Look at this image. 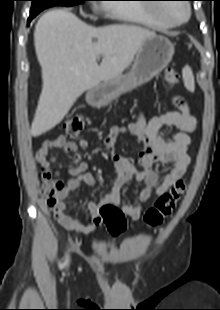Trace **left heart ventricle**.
Listing matches in <instances>:
<instances>
[{
	"mask_svg": "<svg viewBox=\"0 0 220 310\" xmlns=\"http://www.w3.org/2000/svg\"><path fill=\"white\" fill-rule=\"evenodd\" d=\"M160 13L172 20H181L186 15V10L182 4H167L160 8Z\"/></svg>",
	"mask_w": 220,
	"mask_h": 310,
	"instance_id": "b2bd125f",
	"label": "left heart ventricle"
}]
</instances>
